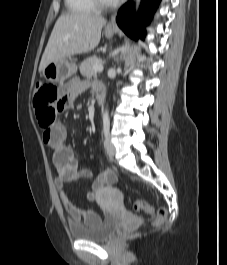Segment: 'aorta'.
Instances as JSON below:
<instances>
[{
    "label": "aorta",
    "mask_w": 227,
    "mask_h": 265,
    "mask_svg": "<svg viewBox=\"0 0 227 265\" xmlns=\"http://www.w3.org/2000/svg\"><path fill=\"white\" fill-rule=\"evenodd\" d=\"M140 1L141 0H135L136 2V10L138 9L139 5H140ZM129 48V45L126 44L123 48H122V54L125 55L127 50ZM103 120L104 121H109V115H108V111H105L104 114H103Z\"/></svg>",
    "instance_id": "aorta-1"
}]
</instances>
